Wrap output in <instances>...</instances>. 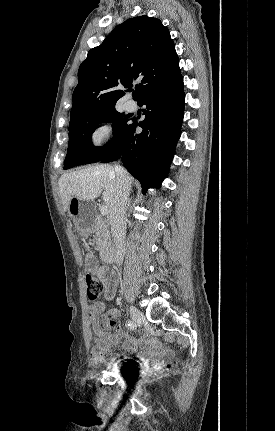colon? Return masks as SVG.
<instances>
[{"label": "colon", "mask_w": 275, "mask_h": 431, "mask_svg": "<svg viewBox=\"0 0 275 431\" xmlns=\"http://www.w3.org/2000/svg\"><path fill=\"white\" fill-rule=\"evenodd\" d=\"M87 296L90 300H97L104 292V284L102 280L95 274L89 273L85 277Z\"/></svg>", "instance_id": "obj_1"}]
</instances>
